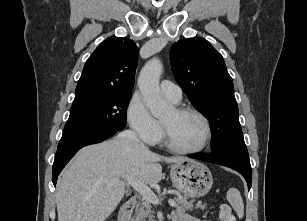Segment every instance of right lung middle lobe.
<instances>
[{
    "instance_id": "dd1d6c3e",
    "label": "right lung middle lobe",
    "mask_w": 307,
    "mask_h": 221,
    "mask_svg": "<svg viewBox=\"0 0 307 221\" xmlns=\"http://www.w3.org/2000/svg\"><path fill=\"white\" fill-rule=\"evenodd\" d=\"M131 95L111 93L73 102L58 147L124 129Z\"/></svg>"
}]
</instances>
